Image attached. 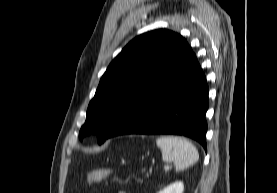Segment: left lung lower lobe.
Returning a JSON list of instances; mask_svg holds the SVG:
<instances>
[{"label":"left lung lower lobe","instance_id":"left-lung-lower-lobe-1","mask_svg":"<svg viewBox=\"0 0 277 193\" xmlns=\"http://www.w3.org/2000/svg\"><path fill=\"white\" fill-rule=\"evenodd\" d=\"M208 91L193 53L173 75L137 102L108 138L124 134L184 135L207 150Z\"/></svg>","mask_w":277,"mask_h":193}]
</instances>
